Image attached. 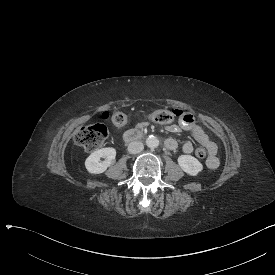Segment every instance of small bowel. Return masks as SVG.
I'll use <instances>...</instances> for the list:
<instances>
[{"mask_svg":"<svg viewBox=\"0 0 275 275\" xmlns=\"http://www.w3.org/2000/svg\"><path fill=\"white\" fill-rule=\"evenodd\" d=\"M179 123L173 124L168 127V130L172 133H177L181 130L189 131L194 140L204 147L208 153L209 157L206 160V166L209 169H216L219 166V159L217 158V145L210 139L205 130L195 121L194 117L185 111L178 112ZM169 144L166 145V142ZM165 142V145L170 150H175L178 148V142L175 139L169 138ZM194 146L191 142H184L182 145V150L185 154H190L193 152Z\"/></svg>","mask_w":275,"mask_h":275,"instance_id":"1","label":"small bowel"}]
</instances>
